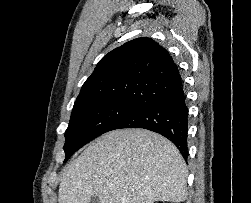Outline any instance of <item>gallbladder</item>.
<instances>
[{
  "label": "gallbladder",
  "mask_w": 251,
  "mask_h": 203,
  "mask_svg": "<svg viewBox=\"0 0 251 203\" xmlns=\"http://www.w3.org/2000/svg\"><path fill=\"white\" fill-rule=\"evenodd\" d=\"M90 203H100L98 196L97 195H93L91 197Z\"/></svg>",
  "instance_id": "obj_1"
}]
</instances>
